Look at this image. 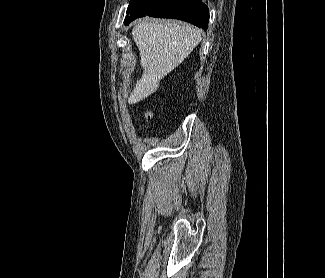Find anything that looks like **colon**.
Here are the masks:
<instances>
[{"instance_id": "1", "label": "colon", "mask_w": 325, "mask_h": 278, "mask_svg": "<svg viewBox=\"0 0 325 278\" xmlns=\"http://www.w3.org/2000/svg\"><path fill=\"white\" fill-rule=\"evenodd\" d=\"M143 118H144L145 120L150 119V118H151V113H150V112H145V113L143 114Z\"/></svg>"}]
</instances>
